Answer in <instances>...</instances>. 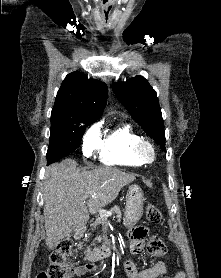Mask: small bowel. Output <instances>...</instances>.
<instances>
[{
    "label": "small bowel",
    "instance_id": "1",
    "mask_svg": "<svg viewBox=\"0 0 221 278\" xmlns=\"http://www.w3.org/2000/svg\"><path fill=\"white\" fill-rule=\"evenodd\" d=\"M131 235V252L133 254H140L144 248L146 230L144 228H135L132 230ZM123 268L128 278H160L167 272V264L164 261L158 262L156 266L152 268L142 270L138 269L132 262L125 261L123 263ZM89 271H96V269L94 267L88 269L83 266L72 267L70 268L67 278H74L75 276L82 277ZM173 278H184V274L182 272H178Z\"/></svg>",
    "mask_w": 221,
    "mask_h": 278
}]
</instances>
